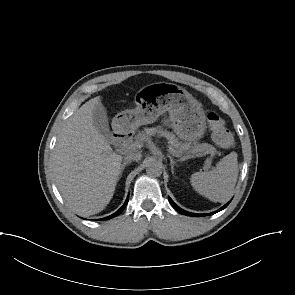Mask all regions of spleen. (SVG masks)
Listing matches in <instances>:
<instances>
[{"mask_svg": "<svg viewBox=\"0 0 295 295\" xmlns=\"http://www.w3.org/2000/svg\"><path fill=\"white\" fill-rule=\"evenodd\" d=\"M238 177L237 153L223 157L209 172H195L190 182L194 190L213 202L225 203L233 193Z\"/></svg>", "mask_w": 295, "mask_h": 295, "instance_id": "spleen-1", "label": "spleen"}]
</instances>
